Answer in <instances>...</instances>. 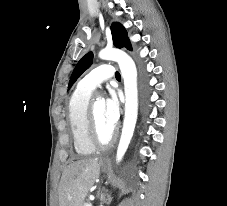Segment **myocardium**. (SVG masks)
I'll return each mask as SVG.
<instances>
[{"instance_id": "f54148a6", "label": "myocardium", "mask_w": 227, "mask_h": 206, "mask_svg": "<svg viewBox=\"0 0 227 206\" xmlns=\"http://www.w3.org/2000/svg\"><path fill=\"white\" fill-rule=\"evenodd\" d=\"M87 129L90 142L97 148H107L112 145L116 139V130H113L108 140L104 141L100 138L94 112V102L90 103L88 107Z\"/></svg>"}]
</instances>
